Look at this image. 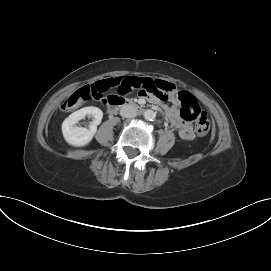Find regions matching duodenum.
Instances as JSON below:
<instances>
[{"instance_id": "410a0bca", "label": "duodenum", "mask_w": 271, "mask_h": 271, "mask_svg": "<svg viewBox=\"0 0 271 271\" xmlns=\"http://www.w3.org/2000/svg\"><path fill=\"white\" fill-rule=\"evenodd\" d=\"M121 107H131L137 112L142 111L140 105L122 97L114 96L108 100L107 108L109 113H114Z\"/></svg>"}]
</instances>
